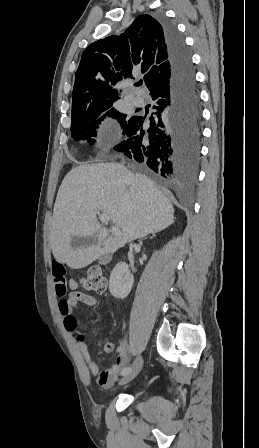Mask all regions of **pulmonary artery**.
I'll use <instances>...</instances> for the list:
<instances>
[{"instance_id":"e3ab8cb5","label":"pulmonary artery","mask_w":259,"mask_h":448,"mask_svg":"<svg viewBox=\"0 0 259 448\" xmlns=\"http://www.w3.org/2000/svg\"><path fill=\"white\" fill-rule=\"evenodd\" d=\"M128 91H134L136 93V96L133 98L135 104L139 105L143 103V98L137 88H130Z\"/></svg>"}]
</instances>
